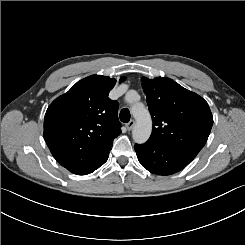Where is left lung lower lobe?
<instances>
[{
  "mask_svg": "<svg viewBox=\"0 0 245 245\" xmlns=\"http://www.w3.org/2000/svg\"><path fill=\"white\" fill-rule=\"evenodd\" d=\"M135 151L141 165L157 175H172L192 161L171 148L148 141L144 144H135Z\"/></svg>",
  "mask_w": 245,
  "mask_h": 245,
  "instance_id": "0a47b994",
  "label": "left lung lower lobe"
}]
</instances>
